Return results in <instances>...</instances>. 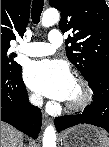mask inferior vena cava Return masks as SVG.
Wrapping results in <instances>:
<instances>
[{
  "label": "inferior vena cava",
  "instance_id": "1",
  "mask_svg": "<svg viewBox=\"0 0 109 147\" xmlns=\"http://www.w3.org/2000/svg\"><path fill=\"white\" fill-rule=\"evenodd\" d=\"M31 100L36 105L41 106L43 104V98L38 94L32 96Z\"/></svg>",
  "mask_w": 109,
  "mask_h": 147
}]
</instances>
